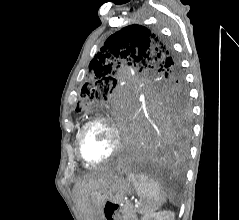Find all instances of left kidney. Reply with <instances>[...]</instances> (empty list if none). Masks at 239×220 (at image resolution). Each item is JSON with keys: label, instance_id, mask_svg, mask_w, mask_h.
Wrapping results in <instances>:
<instances>
[{"label": "left kidney", "instance_id": "left-kidney-1", "mask_svg": "<svg viewBox=\"0 0 239 220\" xmlns=\"http://www.w3.org/2000/svg\"><path fill=\"white\" fill-rule=\"evenodd\" d=\"M141 220H175V215L171 211L146 213Z\"/></svg>", "mask_w": 239, "mask_h": 220}]
</instances>
